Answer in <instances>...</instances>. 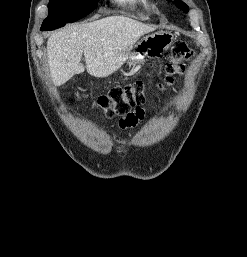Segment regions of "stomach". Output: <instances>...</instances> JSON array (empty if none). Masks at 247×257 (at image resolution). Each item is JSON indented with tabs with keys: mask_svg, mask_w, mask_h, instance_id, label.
<instances>
[{
	"mask_svg": "<svg viewBox=\"0 0 247 257\" xmlns=\"http://www.w3.org/2000/svg\"><path fill=\"white\" fill-rule=\"evenodd\" d=\"M173 39L170 32L163 31L144 37L134 46V51L128 56L127 64L131 67L143 63L146 59L159 57L169 49Z\"/></svg>",
	"mask_w": 247,
	"mask_h": 257,
	"instance_id": "1",
	"label": "stomach"
}]
</instances>
